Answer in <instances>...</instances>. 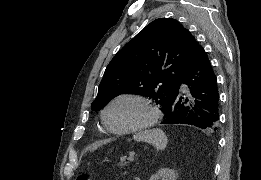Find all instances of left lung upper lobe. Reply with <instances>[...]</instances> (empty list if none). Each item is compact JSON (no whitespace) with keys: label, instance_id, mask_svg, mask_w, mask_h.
Segmentation results:
<instances>
[{"label":"left lung upper lobe","instance_id":"1","mask_svg":"<svg viewBox=\"0 0 261 180\" xmlns=\"http://www.w3.org/2000/svg\"><path fill=\"white\" fill-rule=\"evenodd\" d=\"M197 47L195 38L175 19L154 20L111 60L91 109L99 111L117 95L136 94L154 99L164 111Z\"/></svg>","mask_w":261,"mask_h":180}]
</instances>
